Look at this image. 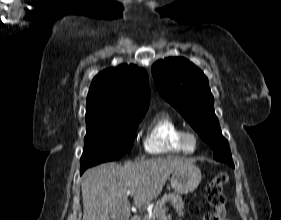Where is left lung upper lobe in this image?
Instances as JSON below:
<instances>
[{
    "label": "left lung upper lobe",
    "instance_id": "5c2ea615",
    "mask_svg": "<svg viewBox=\"0 0 281 220\" xmlns=\"http://www.w3.org/2000/svg\"><path fill=\"white\" fill-rule=\"evenodd\" d=\"M152 75L160 95L175 107L213 149V158L234 167L228 141L214 112V98L203 72L185 58L159 60Z\"/></svg>",
    "mask_w": 281,
    "mask_h": 220
}]
</instances>
